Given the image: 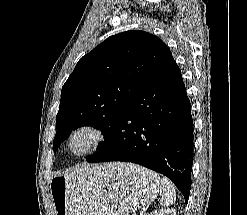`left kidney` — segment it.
Here are the masks:
<instances>
[{"instance_id":"left-kidney-1","label":"left kidney","mask_w":247,"mask_h":215,"mask_svg":"<svg viewBox=\"0 0 247 215\" xmlns=\"http://www.w3.org/2000/svg\"><path fill=\"white\" fill-rule=\"evenodd\" d=\"M150 215H176V210L173 208L155 210Z\"/></svg>"}]
</instances>
